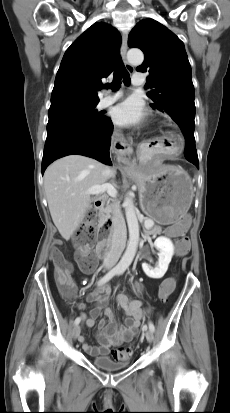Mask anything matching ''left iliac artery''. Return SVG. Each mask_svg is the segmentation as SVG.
<instances>
[{
	"label": "left iliac artery",
	"instance_id": "1",
	"mask_svg": "<svg viewBox=\"0 0 230 413\" xmlns=\"http://www.w3.org/2000/svg\"><path fill=\"white\" fill-rule=\"evenodd\" d=\"M121 273H122V271H119L117 274L119 275ZM148 325H149V329L154 332V330H155L154 324L150 321Z\"/></svg>",
	"mask_w": 230,
	"mask_h": 413
}]
</instances>
